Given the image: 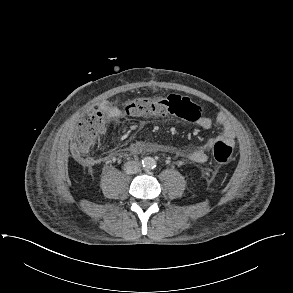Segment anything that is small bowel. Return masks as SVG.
I'll return each instance as SVG.
<instances>
[{
	"mask_svg": "<svg viewBox=\"0 0 293 293\" xmlns=\"http://www.w3.org/2000/svg\"><path fill=\"white\" fill-rule=\"evenodd\" d=\"M102 110L111 118L115 120H121L124 117L122 110L111 104H103L101 106ZM222 132L215 138L209 140L202 147L191 150L186 154L187 158L196 163H203L208 159V152L212 149L213 145L217 140H222L228 143L230 146H235L236 143V132L233 126L227 121H221ZM196 125L201 129H210L213 127V121L207 116H201L197 121ZM87 164H94L95 160L92 158L86 159Z\"/></svg>",
	"mask_w": 293,
	"mask_h": 293,
	"instance_id": "small-bowel-1",
	"label": "small bowel"
}]
</instances>
